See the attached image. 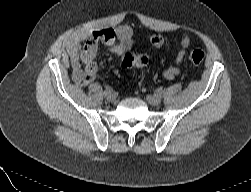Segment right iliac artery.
<instances>
[{
  "label": "right iliac artery",
  "mask_w": 251,
  "mask_h": 192,
  "mask_svg": "<svg viewBox=\"0 0 251 192\" xmlns=\"http://www.w3.org/2000/svg\"><path fill=\"white\" fill-rule=\"evenodd\" d=\"M111 92H113V89L111 87L107 86L106 89H105V91H104V95L107 96Z\"/></svg>",
  "instance_id": "obj_1"
}]
</instances>
